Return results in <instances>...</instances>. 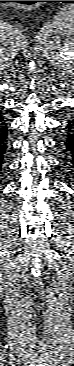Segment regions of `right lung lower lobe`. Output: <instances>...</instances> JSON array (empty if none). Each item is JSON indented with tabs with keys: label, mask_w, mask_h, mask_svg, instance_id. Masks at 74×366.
Returning a JSON list of instances; mask_svg holds the SVG:
<instances>
[{
	"label": "right lung lower lobe",
	"mask_w": 74,
	"mask_h": 366,
	"mask_svg": "<svg viewBox=\"0 0 74 366\" xmlns=\"http://www.w3.org/2000/svg\"><path fill=\"white\" fill-rule=\"evenodd\" d=\"M7 120L4 119L1 116L0 111V166L2 164V160L4 157V154L6 153L7 147H8V126H7Z\"/></svg>",
	"instance_id": "right-lung-lower-lobe-1"
}]
</instances>
